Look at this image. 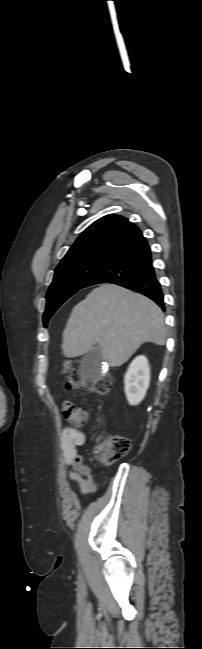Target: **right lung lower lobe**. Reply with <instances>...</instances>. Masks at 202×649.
<instances>
[{
	"label": "right lung lower lobe",
	"mask_w": 202,
	"mask_h": 649,
	"mask_svg": "<svg viewBox=\"0 0 202 649\" xmlns=\"http://www.w3.org/2000/svg\"><path fill=\"white\" fill-rule=\"evenodd\" d=\"M113 283L139 292L165 310L161 284L152 265V253L147 241L114 255L104 263L82 287Z\"/></svg>",
	"instance_id": "right-lung-lower-lobe-1"
}]
</instances>
